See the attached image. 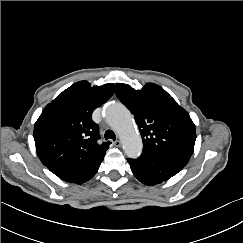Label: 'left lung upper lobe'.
I'll use <instances>...</instances> for the list:
<instances>
[{
    "label": "left lung upper lobe",
    "mask_w": 243,
    "mask_h": 243,
    "mask_svg": "<svg viewBox=\"0 0 243 243\" xmlns=\"http://www.w3.org/2000/svg\"><path fill=\"white\" fill-rule=\"evenodd\" d=\"M116 95L135 117L143 152L189 161L196 140L195 125L163 88L148 83L142 90H135L119 83Z\"/></svg>",
    "instance_id": "5c2ea615"
}]
</instances>
